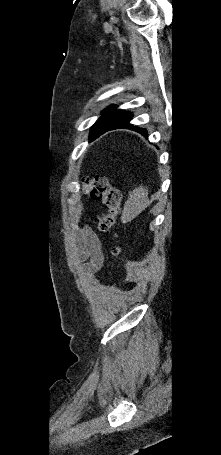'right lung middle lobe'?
Wrapping results in <instances>:
<instances>
[{
    "instance_id": "obj_1",
    "label": "right lung middle lobe",
    "mask_w": 221,
    "mask_h": 455,
    "mask_svg": "<svg viewBox=\"0 0 221 455\" xmlns=\"http://www.w3.org/2000/svg\"><path fill=\"white\" fill-rule=\"evenodd\" d=\"M114 107H109L112 110ZM127 112L122 110L110 111L98 119L91 129L90 139H95L116 124Z\"/></svg>"
}]
</instances>
